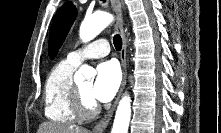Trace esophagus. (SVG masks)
I'll return each mask as SVG.
<instances>
[{"instance_id":"1","label":"esophagus","mask_w":221,"mask_h":133,"mask_svg":"<svg viewBox=\"0 0 221 133\" xmlns=\"http://www.w3.org/2000/svg\"><path fill=\"white\" fill-rule=\"evenodd\" d=\"M111 6L116 13L117 16V31L120 33L122 38V49L120 52V59H121V66H122V83L121 87L118 93V96L111 107V109L105 114V116L101 119V121L94 127L93 133H103L105 129L107 128L108 124L110 123L112 116L114 114V111L116 109V106L118 104V101L121 97V94L123 92V89L126 84V78H127V64H126V49H127V39L125 35V30L123 27V13H122V1L120 0H111Z\"/></svg>"}]
</instances>
